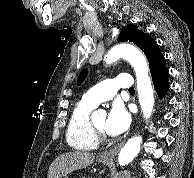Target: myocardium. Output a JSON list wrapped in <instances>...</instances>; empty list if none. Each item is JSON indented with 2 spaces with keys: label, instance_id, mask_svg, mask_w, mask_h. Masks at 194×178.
<instances>
[{
  "label": "myocardium",
  "instance_id": "myocardium-1",
  "mask_svg": "<svg viewBox=\"0 0 194 178\" xmlns=\"http://www.w3.org/2000/svg\"><path fill=\"white\" fill-rule=\"evenodd\" d=\"M90 125H91V128H92L95 136L97 137V139L98 140H104L105 139V134H104L103 130H100L99 128H97L92 121H90Z\"/></svg>",
  "mask_w": 194,
  "mask_h": 178
}]
</instances>
